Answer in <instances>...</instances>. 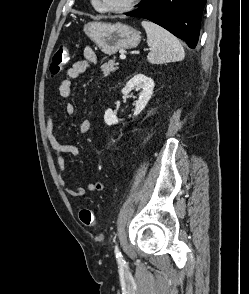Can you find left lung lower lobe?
I'll use <instances>...</instances> for the list:
<instances>
[{"instance_id":"1","label":"left lung lower lobe","mask_w":249,"mask_h":294,"mask_svg":"<svg viewBox=\"0 0 249 294\" xmlns=\"http://www.w3.org/2000/svg\"><path fill=\"white\" fill-rule=\"evenodd\" d=\"M206 0H142L141 7L126 13L146 18L195 48Z\"/></svg>"}]
</instances>
